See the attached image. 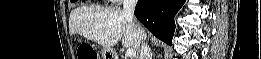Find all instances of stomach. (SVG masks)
Returning <instances> with one entry per match:
<instances>
[{"label":"stomach","mask_w":261,"mask_h":59,"mask_svg":"<svg viewBox=\"0 0 261 59\" xmlns=\"http://www.w3.org/2000/svg\"><path fill=\"white\" fill-rule=\"evenodd\" d=\"M101 56H102V59H109V58L114 59V56L112 55L110 49H108V48H103L101 50Z\"/></svg>","instance_id":"1"}]
</instances>
